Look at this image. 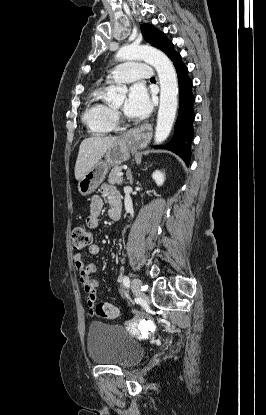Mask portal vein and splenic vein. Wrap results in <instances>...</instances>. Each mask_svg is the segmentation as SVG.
Returning <instances> with one entry per match:
<instances>
[{"instance_id": "18ae733b", "label": "portal vein and splenic vein", "mask_w": 266, "mask_h": 415, "mask_svg": "<svg viewBox=\"0 0 266 415\" xmlns=\"http://www.w3.org/2000/svg\"><path fill=\"white\" fill-rule=\"evenodd\" d=\"M117 175L121 177L123 176V172H119Z\"/></svg>"}]
</instances>
